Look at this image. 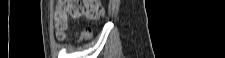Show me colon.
Returning a JSON list of instances; mask_svg holds the SVG:
<instances>
[{"instance_id":"colon-1","label":"colon","mask_w":225,"mask_h":58,"mask_svg":"<svg viewBox=\"0 0 225 58\" xmlns=\"http://www.w3.org/2000/svg\"><path fill=\"white\" fill-rule=\"evenodd\" d=\"M104 15L101 0H61L54 14L56 35L59 39L65 37L68 17H85L90 21L100 19Z\"/></svg>"}]
</instances>
